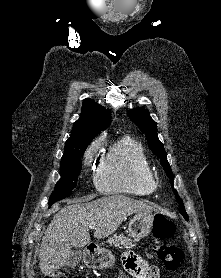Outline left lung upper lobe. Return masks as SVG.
<instances>
[{"label": "left lung upper lobe", "mask_w": 221, "mask_h": 278, "mask_svg": "<svg viewBox=\"0 0 221 278\" xmlns=\"http://www.w3.org/2000/svg\"><path fill=\"white\" fill-rule=\"evenodd\" d=\"M128 116L131 120L137 124V126L145 133V137L148 141L149 148L153 151V153L160 158L161 164L166 172L167 176L171 179L170 183L173 184V173L167 161V154L164 149L163 144L157 137V126L156 123L149 116L148 110H144L143 108H136L128 111ZM176 194V200L179 203V211L185 218L188 220L187 213L184 208V204L180 199L176 190H174Z\"/></svg>", "instance_id": "1"}]
</instances>
